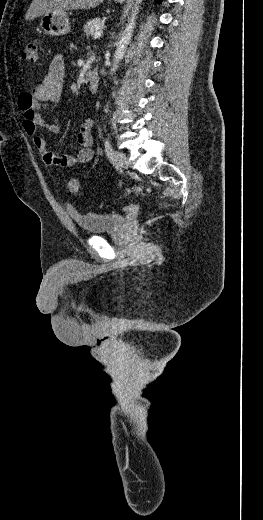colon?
I'll use <instances>...</instances> for the list:
<instances>
[{"label":"colon","instance_id":"obj_1","mask_svg":"<svg viewBox=\"0 0 263 520\" xmlns=\"http://www.w3.org/2000/svg\"><path fill=\"white\" fill-rule=\"evenodd\" d=\"M22 57L30 62H36L38 60V41L36 39H29L24 46L22 51ZM65 191L67 194L74 196L80 191V184L76 177L68 176L64 182ZM144 192L143 187L133 186L125 191V195L138 194Z\"/></svg>","mask_w":263,"mask_h":520}]
</instances>
